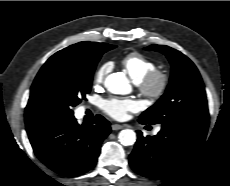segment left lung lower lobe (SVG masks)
Segmentation results:
<instances>
[{
	"label": "left lung lower lobe",
	"instance_id": "0a47b994",
	"mask_svg": "<svg viewBox=\"0 0 230 186\" xmlns=\"http://www.w3.org/2000/svg\"><path fill=\"white\" fill-rule=\"evenodd\" d=\"M142 124H147L141 122ZM209 120H183L162 125L156 136L143 137L129 157L132 169L145 177L167 179L184 168L202 147Z\"/></svg>",
	"mask_w": 230,
	"mask_h": 186
}]
</instances>
